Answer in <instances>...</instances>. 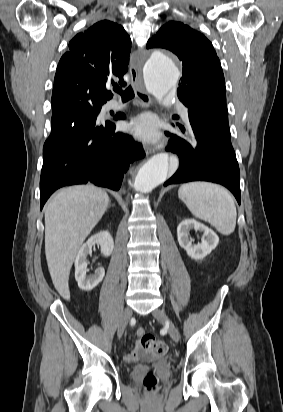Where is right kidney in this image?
<instances>
[{
  "mask_svg": "<svg viewBox=\"0 0 283 412\" xmlns=\"http://www.w3.org/2000/svg\"><path fill=\"white\" fill-rule=\"evenodd\" d=\"M100 245L101 252L105 257L112 254L114 241L108 231L91 236L80 248L75 259V279L81 290L90 291L94 289L104 278V268H98L93 275L87 276V256L92 253V246Z\"/></svg>",
  "mask_w": 283,
  "mask_h": 412,
  "instance_id": "right-kidney-1",
  "label": "right kidney"
}]
</instances>
